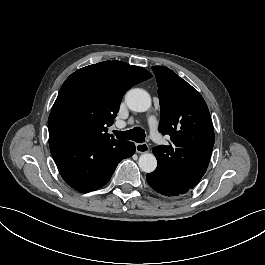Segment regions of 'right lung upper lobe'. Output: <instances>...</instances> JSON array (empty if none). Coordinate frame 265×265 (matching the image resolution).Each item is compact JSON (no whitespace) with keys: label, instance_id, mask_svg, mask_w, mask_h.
Returning a JSON list of instances; mask_svg holds the SVG:
<instances>
[{"label":"right lung upper lobe","instance_id":"right-lung-upper-lobe-1","mask_svg":"<svg viewBox=\"0 0 265 265\" xmlns=\"http://www.w3.org/2000/svg\"><path fill=\"white\" fill-rule=\"evenodd\" d=\"M151 77L144 68L121 61H104L77 70L63 83L52 107L49 135H57L52 128L55 117L71 110L85 116L72 136L94 140L114 138L107 133V126L113 124L123 95Z\"/></svg>","mask_w":265,"mask_h":265}]
</instances>
